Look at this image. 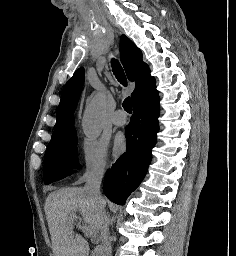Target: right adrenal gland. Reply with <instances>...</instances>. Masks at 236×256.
<instances>
[{
  "instance_id": "right-adrenal-gland-1",
  "label": "right adrenal gland",
  "mask_w": 236,
  "mask_h": 256,
  "mask_svg": "<svg viewBox=\"0 0 236 256\" xmlns=\"http://www.w3.org/2000/svg\"><path fill=\"white\" fill-rule=\"evenodd\" d=\"M107 218H108V220H111V218H110L109 214H107Z\"/></svg>"
}]
</instances>
